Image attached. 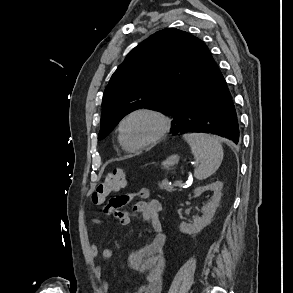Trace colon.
<instances>
[{
  "instance_id": "1",
  "label": "colon",
  "mask_w": 293,
  "mask_h": 293,
  "mask_svg": "<svg viewBox=\"0 0 293 293\" xmlns=\"http://www.w3.org/2000/svg\"><path fill=\"white\" fill-rule=\"evenodd\" d=\"M127 185V175L121 169H114L108 172L98 184L93 193V200L101 203L114 192Z\"/></svg>"
}]
</instances>
